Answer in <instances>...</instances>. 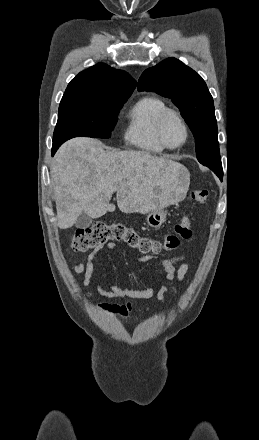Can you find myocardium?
I'll return each mask as SVG.
<instances>
[{"label": "myocardium", "mask_w": 259, "mask_h": 440, "mask_svg": "<svg viewBox=\"0 0 259 440\" xmlns=\"http://www.w3.org/2000/svg\"><path fill=\"white\" fill-rule=\"evenodd\" d=\"M170 116H175L179 120V122L181 123V125L184 129V132H185L184 140L180 144L175 145V146L169 145L166 142L164 135H163V129H164L165 122ZM155 132H156V137H157V140L159 141V143L165 149H168V150H176V149L181 148L182 146H184L187 143L189 136H190L189 126H188L185 118L183 117V115L179 111H177L175 109H171V108L166 109L160 115V117L157 121V124H156Z\"/></svg>", "instance_id": "1"}]
</instances>
